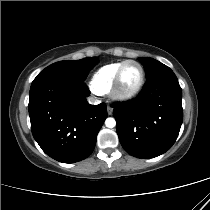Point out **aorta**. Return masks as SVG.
Returning a JSON list of instances; mask_svg holds the SVG:
<instances>
[{
	"label": "aorta",
	"instance_id": "aorta-1",
	"mask_svg": "<svg viewBox=\"0 0 210 210\" xmlns=\"http://www.w3.org/2000/svg\"><path fill=\"white\" fill-rule=\"evenodd\" d=\"M105 125L108 128H113V127L116 126V121H115L114 118H107L106 121H105Z\"/></svg>",
	"mask_w": 210,
	"mask_h": 210
}]
</instances>
